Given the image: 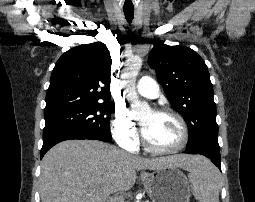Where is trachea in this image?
I'll use <instances>...</instances> for the list:
<instances>
[{
    "mask_svg": "<svg viewBox=\"0 0 255 202\" xmlns=\"http://www.w3.org/2000/svg\"><path fill=\"white\" fill-rule=\"evenodd\" d=\"M123 11H124L125 18L127 19V21L131 22L133 20V16H134V8L123 9Z\"/></svg>",
    "mask_w": 255,
    "mask_h": 202,
    "instance_id": "1",
    "label": "trachea"
}]
</instances>
